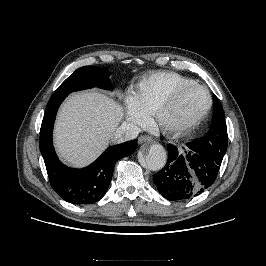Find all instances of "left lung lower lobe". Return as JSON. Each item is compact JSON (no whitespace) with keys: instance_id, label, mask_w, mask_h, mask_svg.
<instances>
[{"instance_id":"left-lung-lower-lobe-1","label":"left lung lower lobe","mask_w":266,"mask_h":266,"mask_svg":"<svg viewBox=\"0 0 266 266\" xmlns=\"http://www.w3.org/2000/svg\"><path fill=\"white\" fill-rule=\"evenodd\" d=\"M185 149L184 152L169 144L167 163L153 177L158 191L170 201L198 196L214 183L227 143L217 141L207 149L194 140Z\"/></svg>"}]
</instances>
